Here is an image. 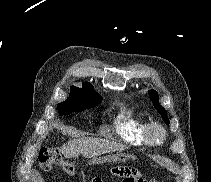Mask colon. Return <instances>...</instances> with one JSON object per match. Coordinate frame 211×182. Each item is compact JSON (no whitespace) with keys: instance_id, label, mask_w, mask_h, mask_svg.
<instances>
[{"instance_id":"5ec220e1","label":"colon","mask_w":211,"mask_h":182,"mask_svg":"<svg viewBox=\"0 0 211 182\" xmlns=\"http://www.w3.org/2000/svg\"><path fill=\"white\" fill-rule=\"evenodd\" d=\"M38 160L41 167L46 171L50 170L53 165H58L71 176L79 173L77 164L65 160L59 151L41 148L38 151ZM115 175L122 179L130 177L133 182H154L143 179L137 170L130 167H117L115 169Z\"/></svg>"}]
</instances>
